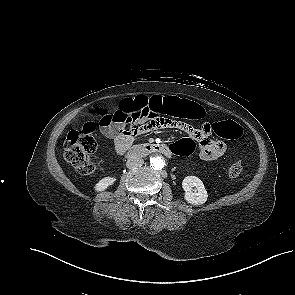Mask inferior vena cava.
I'll return each instance as SVG.
<instances>
[{"instance_id":"602c4592","label":"inferior vena cava","mask_w":295,"mask_h":295,"mask_svg":"<svg viewBox=\"0 0 295 295\" xmlns=\"http://www.w3.org/2000/svg\"><path fill=\"white\" fill-rule=\"evenodd\" d=\"M144 164V160L140 157H136V156H132L130 157L127 162H126V166L129 169H133L136 167H140Z\"/></svg>"}]
</instances>
